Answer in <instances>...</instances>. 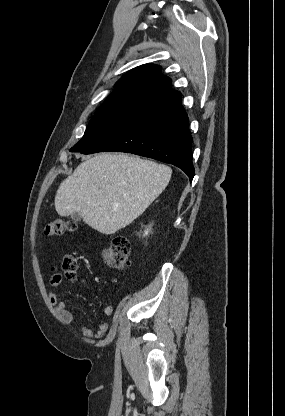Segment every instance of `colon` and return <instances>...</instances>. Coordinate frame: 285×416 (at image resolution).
I'll return each mask as SVG.
<instances>
[{
    "mask_svg": "<svg viewBox=\"0 0 285 416\" xmlns=\"http://www.w3.org/2000/svg\"><path fill=\"white\" fill-rule=\"evenodd\" d=\"M77 228L73 221L56 219L48 224L46 235L62 236ZM102 261L114 268L126 269L130 264V243L125 236H116L112 239L110 246L101 251ZM77 261L74 256L66 255L61 264V271L53 276L52 283L59 284L63 278L74 280L77 276Z\"/></svg>",
    "mask_w": 285,
    "mask_h": 416,
    "instance_id": "1",
    "label": "colon"
}]
</instances>
